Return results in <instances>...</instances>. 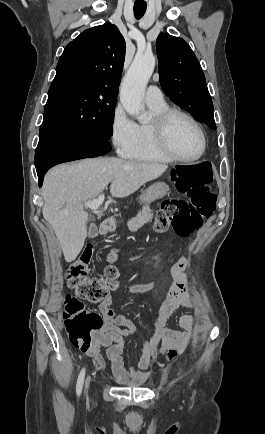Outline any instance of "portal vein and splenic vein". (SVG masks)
<instances>
[{"instance_id": "obj_1", "label": "portal vein and splenic vein", "mask_w": 265, "mask_h": 434, "mask_svg": "<svg viewBox=\"0 0 265 434\" xmlns=\"http://www.w3.org/2000/svg\"><path fill=\"white\" fill-rule=\"evenodd\" d=\"M104 202V194L98 196L97 200H87L84 202L85 208H90V210H99L101 204Z\"/></svg>"}]
</instances>
